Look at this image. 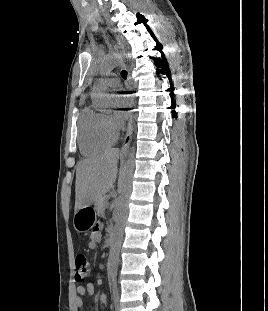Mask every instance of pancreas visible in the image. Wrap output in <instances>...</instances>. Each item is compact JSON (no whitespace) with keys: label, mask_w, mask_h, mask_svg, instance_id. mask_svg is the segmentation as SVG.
Wrapping results in <instances>:
<instances>
[{"label":"pancreas","mask_w":268,"mask_h":311,"mask_svg":"<svg viewBox=\"0 0 268 311\" xmlns=\"http://www.w3.org/2000/svg\"><path fill=\"white\" fill-rule=\"evenodd\" d=\"M107 206V199L105 196L98 198L95 201V210L98 215H102L105 211V208Z\"/></svg>","instance_id":"cf45deb5"}]
</instances>
